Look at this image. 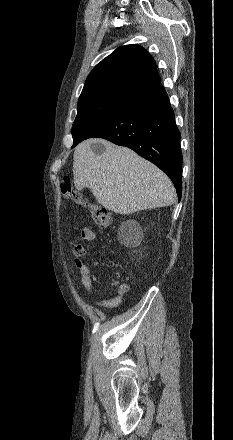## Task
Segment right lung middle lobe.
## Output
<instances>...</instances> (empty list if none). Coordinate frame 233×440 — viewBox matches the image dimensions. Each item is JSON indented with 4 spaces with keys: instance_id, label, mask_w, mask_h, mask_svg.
Returning a JSON list of instances; mask_svg holds the SVG:
<instances>
[{
    "instance_id": "dd1d6c3e",
    "label": "right lung middle lobe",
    "mask_w": 233,
    "mask_h": 440,
    "mask_svg": "<svg viewBox=\"0 0 233 440\" xmlns=\"http://www.w3.org/2000/svg\"><path fill=\"white\" fill-rule=\"evenodd\" d=\"M127 102L116 100H88L78 102V113L72 127L73 146H76L90 133L101 127Z\"/></svg>"
}]
</instances>
